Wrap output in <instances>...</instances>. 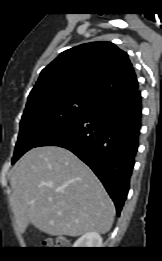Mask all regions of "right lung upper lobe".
<instances>
[{"label": "right lung upper lobe", "instance_id": "1", "mask_svg": "<svg viewBox=\"0 0 162 261\" xmlns=\"http://www.w3.org/2000/svg\"><path fill=\"white\" fill-rule=\"evenodd\" d=\"M138 89L126 52L111 42L81 44L62 52L40 73L28 101L76 93L98 102Z\"/></svg>", "mask_w": 162, "mask_h": 261}]
</instances>
